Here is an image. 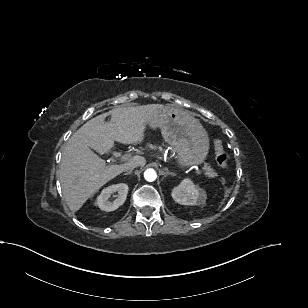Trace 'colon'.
Here are the masks:
<instances>
[{"mask_svg": "<svg viewBox=\"0 0 308 308\" xmlns=\"http://www.w3.org/2000/svg\"><path fill=\"white\" fill-rule=\"evenodd\" d=\"M215 160L219 167L224 168L227 166L228 155L220 139L214 141Z\"/></svg>", "mask_w": 308, "mask_h": 308, "instance_id": "obj_1", "label": "colon"}]
</instances>
